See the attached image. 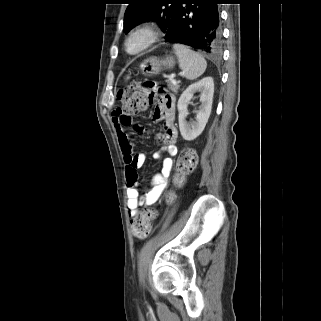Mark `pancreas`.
I'll list each match as a JSON object with an SVG mask.
<instances>
[{
	"label": "pancreas",
	"instance_id": "cf45deb5",
	"mask_svg": "<svg viewBox=\"0 0 321 321\" xmlns=\"http://www.w3.org/2000/svg\"><path fill=\"white\" fill-rule=\"evenodd\" d=\"M168 87L171 91H173L174 93H177L178 92V89H179V85L178 83H174V82H170L168 83Z\"/></svg>",
	"mask_w": 321,
	"mask_h": 321
}]
</instances>
